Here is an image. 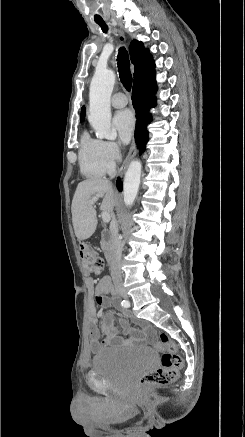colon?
I'll return each mask as SVG.
<instances>
[{
  "mask_svg": "<svg viewBox=\"0 0 245 437\" xmlns=\"http://www.w3.org/2000/svg\"><path fill=\"white\" fill-rule=\"evenodd\" d=\"M82 270L86 276L100 274L104 267V261L97 251L88 245L80 248ZM159 346L163 351L161 367L143 374L140 378L142 386H163L174 382L182 367L183 360L177 353L176 344L170 338L161 333L158 337Z\"/></svg>",
  "mask_w": 245,
  "mask_h": 437,
  "instance_id": "5ec220e1",
  "label": "colon"
}]
</instances>
